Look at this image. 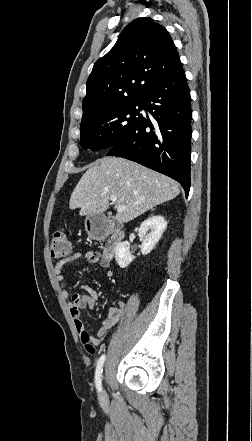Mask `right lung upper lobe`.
Masks as SVG:
<instances>
[{
	"label": "right lung upper lobe",
	"instance_id": "1",
	"mask_svg": "<svg viewBox=\"0 0 252 441\" xmlns=\"http://www.w3.org/2000/svg\"><path fill=\"white\" fill-rule=\"evenodd\" d=\"M180 61L168 31L151 18H138L97 60L86 83L82 122L96 114L142 100Z\"/></svg>",
	"mask_w": 252,
	"mask_h": 441
}]
</instances>
